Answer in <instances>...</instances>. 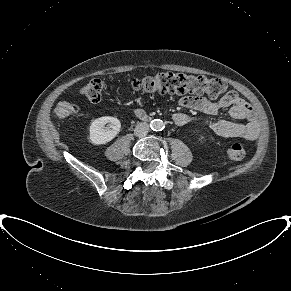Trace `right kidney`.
<instances>
[{
    "instance_id": "1",
    "label": "right kidney",
    "mask_w": 291,
    "mask_h": 291,
    "mask_svg": "<svg viewBox=\"0 0 291 291\" xmlns=\"http://www.w3.org/2000/svg\"><path fill=\"white\" fill-rule=\"evenodd\" d=\"M120 128L121 123L115 117L104 116L97 118L90 125L89 139L94 145L106 144L117 136Z\"/></svg>"
}]
</instances>
